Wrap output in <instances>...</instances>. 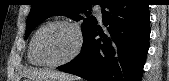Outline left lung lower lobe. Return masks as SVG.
Returning <instances> with one entry per match:
<instances>
[{
  "label": "left lung lower lobe",
  "mask_w": 169,
  "mask_h": 81,
  "mask_svg": "<svg viewBox=\"0 0 169 81\" xmlns=\"http://www.w3.org/2000/svg\"><path fill=\"white\" fill-rule=\"evenodd\" d=\"M100 5L108 32L96 22L80 54L58 69L89 81H141L149 49L148 5L144 0H104Z\"/></svg>",
  "instance_id": "left-lung-lower-lobe-1"
}]
</instances>
